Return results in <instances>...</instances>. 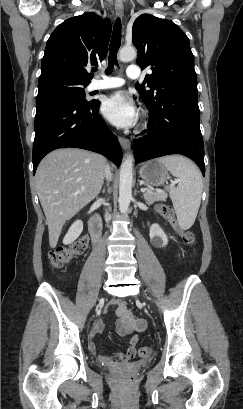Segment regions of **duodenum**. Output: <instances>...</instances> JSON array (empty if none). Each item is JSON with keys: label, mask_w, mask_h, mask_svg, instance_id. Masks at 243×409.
<instances>
[{"label": "duodenum", "mask_w": 243, "mask_h": 409, "mask_svg": "<svg viewBox=\"0 0 243 409\" xmlns=\"http://www.w3.org/2000/svg\"><path fill=\"white\" fill-rule=\"evenodd\" d=\"M102 224L101 217L99 215H92L89 219V231L92 241L96 243L101 235Z\"/></svg>", "instance_id": "1"}]
</instances>
